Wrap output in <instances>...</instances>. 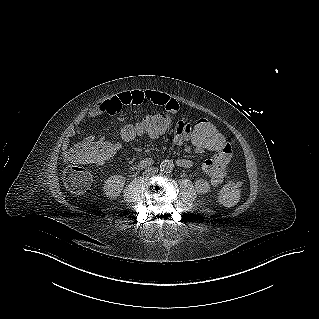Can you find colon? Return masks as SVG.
Listing matches in <instances>:
<instances>
[{
    "mask_svg": "<svg viewBox=\"0 0 319 319\" xmlns=\"http://www.w3.org/2000/svg\"><path fill=\"white\" fill-rule=\"evenodd\" d=\"M171 117L162 111L150 113L146 119L136 125L127 123L122 126L120 135L123 140L132 142L140 137L162 138L171 132ZM175 131V130H174ZM190 140L200 149L209 153L220 151L219 142L226 140L224 131L205 119H198L192 123ZM126 154L124 143L116 138L105 139L100 146L94 143L81 142L68 149L65 157L71 162L63 171L62 180L67 191L73 195L83 194L89 187L91 177L83 164L95 163L101 159L109 164L120 162ZM242 181L231 179L219 190L218 199L224 206L234 205L240 198Z\"/></svg>",
    "mask_w": 319,
    "mask_h": 319,
    "instance_id": "obj_1",
    "label": "colon"
}]
</instances>
